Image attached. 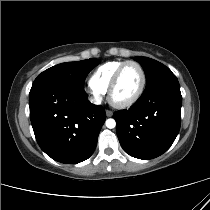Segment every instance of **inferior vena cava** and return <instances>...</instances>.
Listing matches in <instances>:
<instances>
[{
    "label": "inferior vena cava",
    "instance_id": "inferior-vena-cava-1",
    "mask_svg": "<svg viewBox=\"0 0 210 210\" xmlns=\"http://www.w3.org/2000/svg\"><path fill=\"white\" fill-rule=\"evenodd\" d=\"M91 102H92V103H95V104L100 103L98 100H95V99H92Z\"/></svg>",
    "mask_w": 210,
    "mask_h": 210
}]
</instances>
